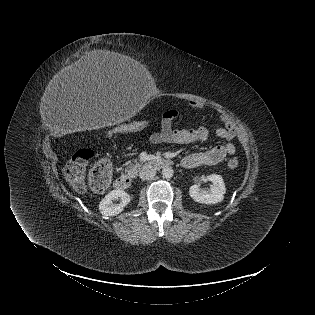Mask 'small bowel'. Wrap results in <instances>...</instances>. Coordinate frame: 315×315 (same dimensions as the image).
<instances>
[{
    "label": "small bowel",
    "instance_id": "c3829d8e",
    "mask_svg": "<svg viewBox=\"0 0 315 315\" xmlns=\"http://www.w3.org/2000/svg\"><path fill=\"white\" fill-rule=\"evenodd\" d=\"M189 105L193 109H201L203 107V105L197 101H190ZM179 115L178 110L165 112L162 116L159 130L152 133L149 140L155 144L171 143L183 145L208 139L209 131L203 126L198 128H173L172 124L179 118ZM218 117L224 127L218 128L216 134L226 141L225 144L216 145L207 150L187 155L181 161L184 167L196 168L216 165L223 161L227 155L235 153V145L232 142L236 136L235 128L223 112H218Z\"/></svg>",
    "mask_w": 315,
    "mask_h": 315
}]
</instances>
